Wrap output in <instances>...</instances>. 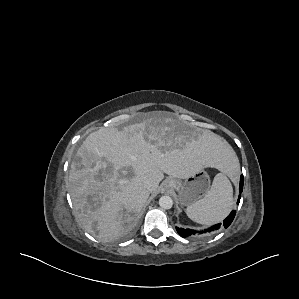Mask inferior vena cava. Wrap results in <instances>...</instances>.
<instances>
[{
	"label": "inferior vena cava",
	"instance_id": "602c4592",
	"mask_svg": "<svg viewBox=\"0 0 299 299\" xmlns=\"http://www.w3.org/2000/svg\"><path fill=\"white\" fill-rule=\"evenodd\" d=\"M144 185L148 191H151V183L149 181H145Z\"/></svg>",
	"mask_w": 299,
	"mask_h": 299
}]
</instances>
